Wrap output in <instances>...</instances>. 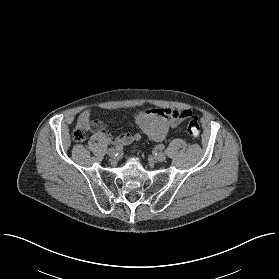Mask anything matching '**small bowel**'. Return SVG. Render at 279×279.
<instances>
[{
  "mask_svg": "<svg viewBox=\"0 0 279 279\" xmlns=\"http://www.w3.org/2000/svg\"><path fill=\"white\" fill-rule=\"evenodd\" d=\"M193 116L194 113L190 110L158 108L138 113L136 115V121L139 128L147 137L155 141H163L170 129ZM90 117V110L81 112L77 120V126H85L92 131H102L104 124L98 120L90 121ZM140 139L141 134L138 132L110 136L111 142L121 147L139 141Z\"/></svg>",
  "mask_w": 279,
  "mask_h": 279,
  "instance_id": "c3829d8e",
  "label": "small bowel"
}]
</instances>
